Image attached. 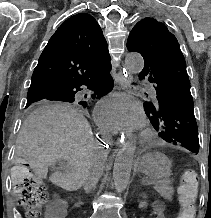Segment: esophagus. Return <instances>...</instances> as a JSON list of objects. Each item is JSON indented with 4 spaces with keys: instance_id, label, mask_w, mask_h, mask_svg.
Wrapping results in <instances>:
<instances>
[{
    "instance_id": "esophagus-1",
    "label": "esophagus",
    "mask_w": 211,
    "mask_h": 218,
    "mask_svg": "<svg viewBox=\"0 0 211 218\" xmlns=\"http://www.w3.org/2000/svg\"><path fill=\"white\" fill-rule=\"evenodd\" d=\"M130 79L128 72L119 71L116 75L115 81L119 86L126 87ZM113 135L114 137H117L115 140L116 144H126L127 141L131 140V137L127 136V132H114ZM116 149H119V146H116Z\"/></svg>"
}]
</instances>
